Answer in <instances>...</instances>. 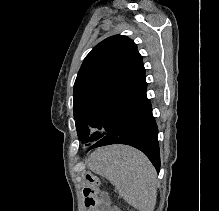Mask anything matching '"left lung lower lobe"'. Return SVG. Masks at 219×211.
I'll list each match as a JSON object with an SVG mask.
<instances>
[{
  "instance_id": "obj_1",
  "label": "left lung lower lobe",
  "mask_w": 219,
  "mask_h": 211,
  "mask_svg": "<svg viewBox=\"0 0 219 211\" xmlns=\"http://www.w3.org/2000/svg\"><path fill=\"white\" fill-rule=\"evenodd\" d=\"M111 144H126L139 149L159 173L158 128L146 89L129 105L114 129L89 149Z\"/></svg>"
}]
</instances>
